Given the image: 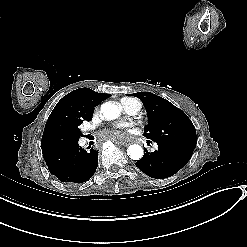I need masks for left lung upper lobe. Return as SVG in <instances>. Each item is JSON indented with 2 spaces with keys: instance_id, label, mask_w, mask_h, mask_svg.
Masks as SVG:
<instances>
[{
  "instance_id": "obj_1",
  "label": "left lung upper lobe",
  "mask_w": 247,
  "mask_h": 247,
  "mask_svg": "<svg viewBox=\"0 0 247 247\" xmlns=\"http://www.w3.org/2000/svg\"><path fill=\"white\" fill-rule=\"evenodd\" d=\"M143 102L148 115L145 136L148 141L194 151L196 130L188 116L166 99L151 92L129 94Z\"/></svg>"
}]
</instances>
